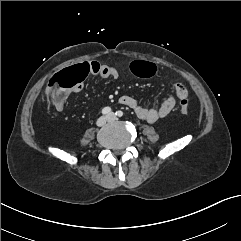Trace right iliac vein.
<instances>
[{
    "instance_id": "right-iliac-vein-1",
    "label": "right iliac vein",
    "mask_w": 241,
    "mask_h": 241,
    "mask_svg": "<svg viewBox=\"0 0 241 241\" xmlns=\"http://www.w3.org/2000/svg\"><path fill=\"white\" fill-rule=\"evenodd\" d=\"M107 122H108V117L102 116V117H100V118L97 120L96 124H97V126L102 127V126H104Z\"/></svg>"
}]
</instances>
